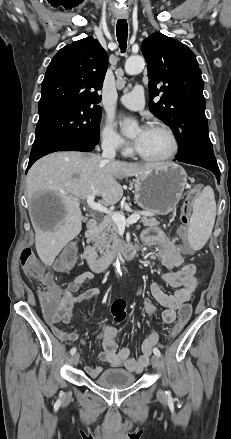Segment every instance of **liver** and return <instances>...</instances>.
<instances>
[{
    "label": "liver",
    "mask_w": 231,
    "mask_h": 439,
    "mask_svg": "<svg viewBox=\"0 0 231 439\" xmlns=\"http://www.w3.org/2000/svg\"><path fill=\"white\" fill-rule=\"evenodd\" d=\"M165 163H127L106 160L94 153L56 152L33 164L27 174V198L36 194L52 195L57 202L51 216L31 212L35 230V246L40 260L51 266L60 251L82 229L80 200L91 194L101 196L107 205L116 204L123 196L118 179L138 177Z\"/></svg>",
    "instance_id": "obj_1"
}]
</instances>
